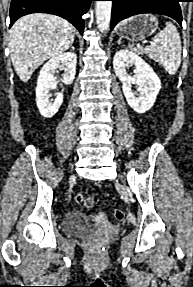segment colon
Listing matches in <instances>:
<instances>
[{
  "mask_svg": "<svg viewBox=\"0 0 193 287\" xmlns=\"http://www.w3.org/2000/svg\"><path fill=\"white\" fill-rule=\"evenodd\" d=\"M74 200L76 203L83 204L89 208L93 207L94 205V199L92 197H87L81 193L76 194ZM113 215L117 220H123L124 218V213L118 209L114 211Z\"/></svg>",
  "mask_w": 193,
  "mask_h": 287,
  "instance_id": "1",
  "label": "colon"
}]
</instances>
